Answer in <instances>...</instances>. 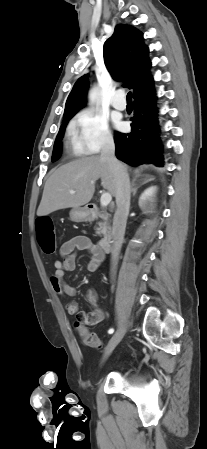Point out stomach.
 Instances as JSON below:
<instances>
[{
    "label": "stomach",
    "mask_w": 207,
    "mask_h": 449,
    "mask_svg": "<svg viewBox=\"0 0 207 449\" xmlns=\"http://www.w3.org/2000/svg\"><path fill=\"white\" fill-rule=\"evenodd\" d=\"M69 215L73 222H84L90 219V212L86 207L72 208Z\"/></svg>",
    "instance_id": "stomach-1"
}]
</instances>
